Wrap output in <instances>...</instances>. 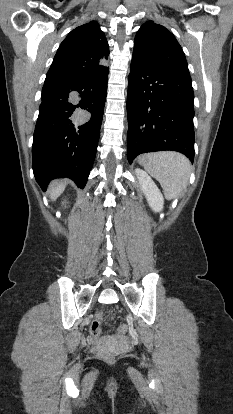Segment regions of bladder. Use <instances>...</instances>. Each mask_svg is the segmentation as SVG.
Instances as JSON below:
<instances>
[{
	"label": "bladder",
	"instance_id": "31cf9c89",
	"mask_svg": "<svg viewBox=\"0 0 233 414\" xmlns=\"http://www.w3.org/2000/svg\"><path fill=\"white\" fill-rule=\"evenodd\" d=\"M121 344H123V340L122 339L109 337V338H106L104 340L103 347L104 348H108V347L117 346V345H121Z\"/></svg>",
	"mask_w": 233,
	"mask_h": 414
}]
</instances>
